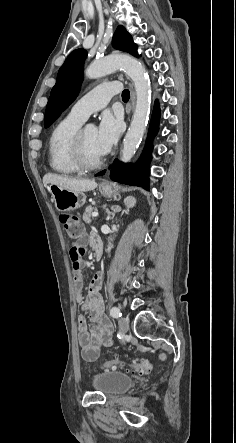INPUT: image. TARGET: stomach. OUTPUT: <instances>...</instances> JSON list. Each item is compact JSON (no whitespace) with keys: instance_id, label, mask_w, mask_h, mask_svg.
<instances>
[{"instance_id":"obj_1","label":"stomach","mask_w":236,"mask_h":443,"mask_svg":"<svg viewBox=\"0 0 236 443\" xmlns=\"http://www.w3.org/2000/svg\"><path fill=\"white\" fill-rule=\"evenodd\" d=\"M48 190L55 203L56 209L61 212L78 209L86 202V196L83 192L70 191L55 184H51ZM100 192L106 197H112L117 193L114 187L100 188Z\"/></svg>"}]
</instances>
